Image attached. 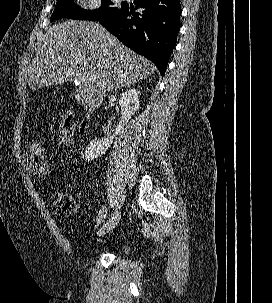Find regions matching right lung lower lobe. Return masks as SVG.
I'll return each mask as SVG.
<instances>
[{
  "label": "right lung lower lobe",
  "instance_id": "98d812e1",
  "mask_svg": "<svg viewBox=\"0 0 272 303\" xmlns=\"http://www.w3.org/2000/svg\"><path fill=\"white\" fill-rule=\"evenodd\" d=\"M136 9L141 13L124 6L100 24L127 47L150 59L163 76L180 30V0H139Z\"/></svg>",
  "mask_w": 272,
  "mask_h": 303
}]
</instances>
